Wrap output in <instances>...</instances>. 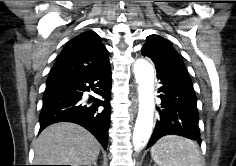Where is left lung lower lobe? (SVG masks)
Returning <instances> with one entry per match:
<instances>
[{"instance_id": "1", "label": "left lung lower lobe", "mask_w": 236, "mask_h": 166, "mask_svg": "<svg viewBox=\"0 0 236 166\" xmlns=\"http://www.w3.org/2000/svg\"><path fill=\"white\" fill-rule=\"evenodd\" d=\"M159 89V119L147 148L165 135H179L201 144L196 94L184 64L156 69Z\"/></svg>"}]
</instances>
